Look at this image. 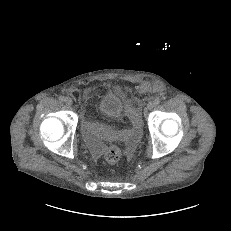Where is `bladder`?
Returning a JSON list of instances; mask_svg holds the SVG:
<instances>
[{
    "label": "bladder",
    "mask_w": 231,
    "mask_h": 231,
    "mask_svg": "<svg viewBox=\"0 0 231 231\" xmlns=\"http://www.w3.org/2000/svg\"><path fill=\"white\" fill-rule=\"evenodd\" d=\"M125 110V103L122 98L113 93L108 92L101 96L97 102L98 113L106 119H119Z\"/></svg>",
    "instance_id": "1"
}]
</instances>
